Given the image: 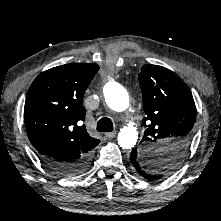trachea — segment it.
<instances>
[{
  "label": "trachea",
  "mask_w": 221,
  "mask_h": 221,
  "mask_svg": "<svg viewBox=\"0 0 221 221\" xmlns=\"http://www.w3.org/2000/svg\"><path fill=\"white\" fill-rule=\"evenodd\" d=\"M97 130L100 132H112L113 122L110 118L103 117L97 123Z\"/></svg>",
  "instance_id": "obj_1"
}]
</instances>
